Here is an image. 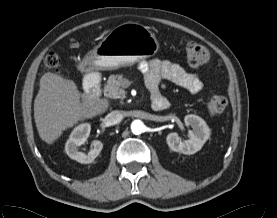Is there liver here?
<instances>
[{"instance_id":"6515ba94","label":"liver","mask_w":277,"mask_h":218,"mask_svg":"<svg viewBox=\"0 0 277 218\" xmlns=\"http://www.w3.org/2000/svg\"><path fill=\"white\" fill-rule=\"evenodd\" d=\"M107 99L80 101V92L73 80L53 73L40 79V89L34 100V119L40 138L48 144L78 121L104 113Z\"/></svg>"}]
</instances>
